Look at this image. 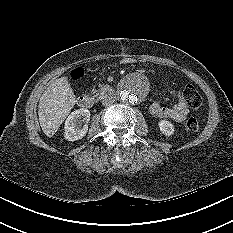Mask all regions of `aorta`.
<instances>
[{"mask_svg": "<svg viewBox=\"0 0 233 233\" xmlns=\"http://www.w3.org/2000/svg\"><path fill=\"white\" fill-rule=\"evenodd\" d=\"M147 95V85L140 77H129L123 81L119 89L121 102L125 104H137Z\"/></svg>", "mask_w": 233, "mask_h": 233, "instance_id": "obj_1", "label": "aorta"}]
</instances>
